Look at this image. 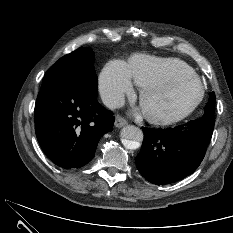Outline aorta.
<instances>
[{
  "instance_id": "obj_1",
  "label": "aorta",
  "mask_w": 233,
  "mask_h": 233,
  "mask_svg": "<svg viewBox=\"0 0 233 233\" xmlns=\"http://www.w3.org/2000/svg\"><path fill=\"white\" fill-rule=\"evenodd\" d=\"M120 136L123 145L128 149L139 148L140 142L144 138L143 131L134 125H127L123 127Z\"/></svg>"
}]
</instances>
